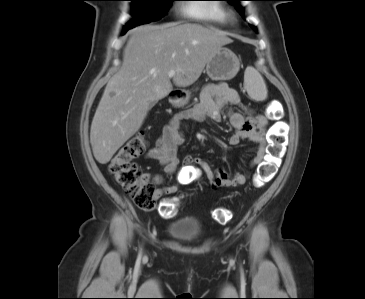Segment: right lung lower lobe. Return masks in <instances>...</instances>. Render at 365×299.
<instances>
[{
	"mask_svg": "<svg viewBox=\"0 0 365 299\" xmlns=\"http://www.w3.org/2000/svg\"><path fill=\"white\" fill-rule=\"evenodd\" d=\"M127 30H129L128 28H124L123 34L127 32Z\"/></svg>",
	"mask_w": 365,
	"mask_h": 299,
	"instance_id": "right-lung-lower-lobe-1",
	"label": "right lung lower lobe"
}]
</instances>
